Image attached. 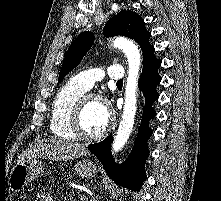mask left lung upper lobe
<instances>
[{"instance_id":"obj_1","label":"left lung upper lobe","mask_w":221,"mask_h":201,"mask_svg":"<svg viewBox=\"0 0 221 201\" xmlns=\"http://www.w3.org/2000/svg\"><path fill=\"white\" fill-rule=\"evenodd\" d=\"M104 36L113 37L115 35L127 36L134 39L143 52V66L154 58V47L149 43L151 33L145 28L144 20L133 11H121L112 17L104 27ZM94 41L91 32L81 33L69 47L59 74L62 80L74 67H76L82 57L90 49Z\"/></svg>"}]
</instances>
